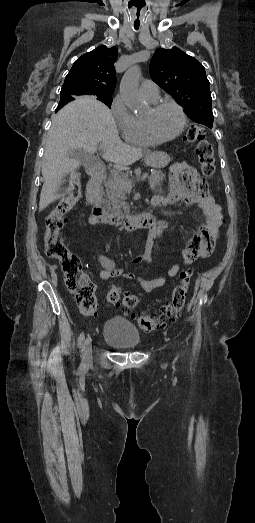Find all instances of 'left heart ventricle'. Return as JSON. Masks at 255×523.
Here are the masks:
<instances>
[{"instance_id": "obj_1", "label": "left heart ventricle", "mask_w": 255, "mask_h": 523, "mask_svg": "<svg viewBox=\"0 0 255 523\" xmlns=\"http://www.w3.org/2000/svg\"><path fill=\"white\" fill-rule=\"evenodd\" d=\"M144 117L149 118L154 134L162 138L175 134L181 123L179 113L172 106H164L155 112L149 109Z\"/></svg>"}]
</instances>
